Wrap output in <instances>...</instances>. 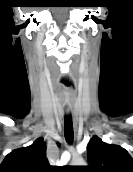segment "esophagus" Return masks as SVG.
<instances>
[{
    "instance_id": "obj_1",
    "label": "esophagus",
    "mask_w": 133,
    "mask_h": 172,
    "mask_svg": "<svg viewBox=\"0 0 133 172\" xmlns=\"http://www.w3.org/2000/svg\"><path fill=\"white\" fill-rule=\"evenodd\" d=\"M66 113L69 114L70 113V110H67Z\"/></svg>"
}]
</instances>
